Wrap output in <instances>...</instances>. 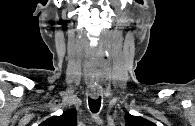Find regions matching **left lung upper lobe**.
<instances>
[{"instance_id": "left-lung-upper-lobe-1", "label": "left lung upper lobe", "mask_w": 195, "mask_h": 126, "mask_svg": "<svg viewBox=\"0 0 195 126\" xmlns=\"http://www.w3.org/2000/svg\"><path fill=\"white\" fill-rule=\"evenodd\" d=\"M125 119L126 126H155V124L151 121H148L139 116H132L128 114Z\"/></svg>"}]
</instances>
